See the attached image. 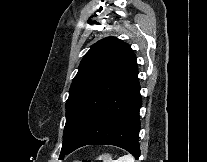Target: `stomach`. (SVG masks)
Here are the masks:
<instances>
[{
    "mask_svg": "<svg viewBox=\"0 0 207 162\" xmlns=\"http://www.w3.org/2000/svg\"><path fill=\"white\" fill-rule=\"evenodd\" d=\"M109 157H110L109 154H103L100 156L101 159H104V158L108 159Z\"/></svg>",
    "mask_w": 207,
    "mask_h": 162,
    "instance_id": "0dacf381",
    "label": "stomach"
}]
</instances>
